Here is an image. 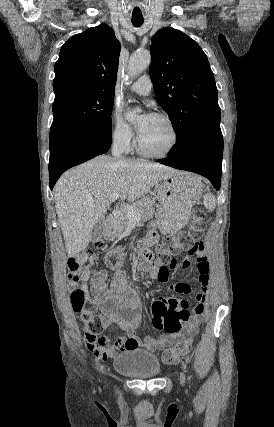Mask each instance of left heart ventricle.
Instances as JSON below:
<instances>
[{
  "label": "left heart ventricle",
  "mask_w": 274,
  "mask_h": 427,
  "mask_svg": "<svg viewBox=\"0 0 274 427\" xmlns=\"http://www.w3.org/2000/svg\"><path fill=\"white\" fill-rule=\"evenodd\" d=\"M144 150L150 153L164 152L172 141V133L168 124L154 116H151L145 129L138 134Z\"/></svg>",
  "instance_id": "left-heart-ventricle-1"
}]
</instances>
